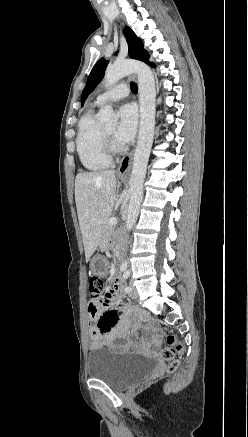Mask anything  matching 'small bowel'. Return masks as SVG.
<instances>
[{
  "mask_svg": "<svg viewBox=\"0 0 248 437\" xmlns=\"http://www.w3.org/2000/svg\"><path fill=\"white\" fill-rule=\"evenodd\" d=\"M121 281L115 279L114 288L99 300L88 303L89 312V348L116 347L125 352H143L159 343V335L154 328L139 337L137 324L129 321V309H115L112 306L119 302ZM117 340L123 342L115 346Z\"/></svg>",
  "mask_w": 248,
  "mask_h": 437,
  "instance_id": "1",
  "label": "small bowel"
}]
</instances>
